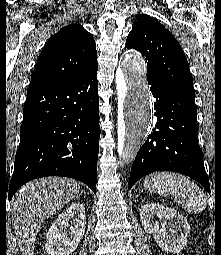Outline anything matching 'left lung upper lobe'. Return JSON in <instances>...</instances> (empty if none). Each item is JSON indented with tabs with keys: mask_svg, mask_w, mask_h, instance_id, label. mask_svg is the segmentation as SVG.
<instances>
[{
	"mask_svg": "<svg viewBox=\"0 0 221 255\" xmlns=\"http://www.w3.org/2000/svg\"><path fill=\"white\" fill-rule=\"evenodd\" d=\"M128 34L126 47L141 52L147 61V80L195 98L193 79L183 49L156 19L140 16Z\"/></svg>",
	"mask_w": 221,
	"mask_h": 255,
	"instance_id": "1",
	"label": "left lung upper lobe"
}]
</instances>
